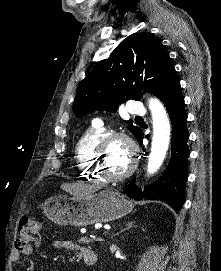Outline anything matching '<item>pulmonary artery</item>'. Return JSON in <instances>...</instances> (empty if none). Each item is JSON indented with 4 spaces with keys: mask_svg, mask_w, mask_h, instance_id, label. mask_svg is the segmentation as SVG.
<instances>
[{
    "mask_svg": "<svg viewBox=\"0 0 221 271\" xmlns=\"http://www.w3.org/2000/svg\"><path fill=\"white\" fill-rule=\"evenodd\" d=\"M126 112H144L143 102H126ZM103 124L101 122H88V127H101ZM96 133L105 131L103 128L99 130L96 128L94 130Z\"/></svg>",
    "mask_w": 221,
    "mask_h": 271,
    "instance_id": "pulmonary-artery-1",
    "label": "pulmonary artery"
}]
</instances>
